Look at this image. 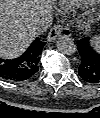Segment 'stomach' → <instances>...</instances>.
I'll return each instance as SVG.
<instances>
[{
  "label": "stomach",
  "instance_id": "stomach-1",
  "mask_svg": "<svg viewBox=\"0 0 100 118\" xmlns=\"http://www.w3.org/2000/svg\"><path fill=\"white\" fill-rule=\"evenodd\" d=\"M84 29H85V33H89V32L91 31L90 24L87 23V24L84 26Z\"/></svg>",
  "mask_w": 100,
  "mask_h": 118
}]
</instances>
